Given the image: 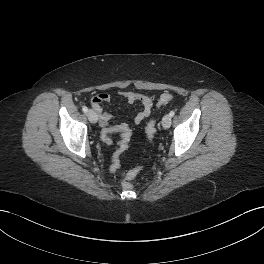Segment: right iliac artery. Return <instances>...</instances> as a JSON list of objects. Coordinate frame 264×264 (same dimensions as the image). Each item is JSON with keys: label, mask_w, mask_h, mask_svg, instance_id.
I'll return each instance as SVG.
<instances>
[{"label": "right iliac artery", "mask_w": 264, "mask_h": 264, "mask_svg": "<svg viewBox=\"0 0 264 264\" xmlns=\"http://www.w3.org/2000/svg\"><path fill=\"white\" fill-rule=\"evenodd\" d=\"M82 110H83V112H85V113L88 112V108H87L86 106H83V107H82Z\"/></svg>", "instance_id": "1"}]
</instances>
